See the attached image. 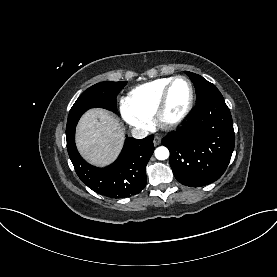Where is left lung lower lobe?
<instances>
[{
	"mask_svg": "<svg viewBox=\"0 0 277 277\" xmlns=\"http://www.w3.org/2000/svg\"><path fill=\"white\" fill-rule=\"evenodd\" d=\"M170 151V166L178 182L200 187L219 179L234 150L235 134L223 96L196 105L188 121L162 139Z\"/></svg>",
	"mask_w": 277,
	"mask_h": 277,
	"instance_id": "0a47b994",
	"label": "left lung lower lobe"
}]
</instances>
